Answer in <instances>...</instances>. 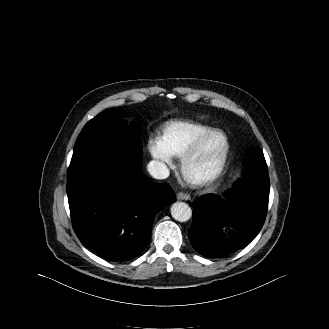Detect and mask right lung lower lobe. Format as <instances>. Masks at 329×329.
Wrapping results in <instances>:
<instances>
[{"instance_id":"right-lung-lower-lobe-1","label":"right lung lower lobe","mask_w":329,"mask_h":329,"mask_svg":"<svg viewBox=\"0 0 329 329\" xmlns=\"http://www.w3.org/2000/svg\"><path fill=\"white\" fill-rule=\"evenodd\" d=\"M67 195L78 238L110 261L138 256L149 242L156 213L175 201L169 185L152 183L140 164L113 156L68 171Z\"/></svg>"}]
</instances>
